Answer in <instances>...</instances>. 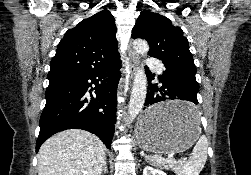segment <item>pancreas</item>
<instances>
[{"label": "pancreas", "instance_id": "obj_1", "mask_svg": "<svg viewBox=\"0 0 251 175\" xmlns=\"http://www.w3.org/2000/svg\"><path fill=\"white\" fill-rule=\"evenodd\" d=\"M151 161L152 165H159V167H163V165H166V163H169L170 165L169 159H163V157H157V155H151Z\"/></svg>", "mask_w": 251, "mask_h": 175}]
</instances>
